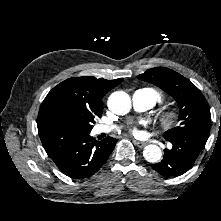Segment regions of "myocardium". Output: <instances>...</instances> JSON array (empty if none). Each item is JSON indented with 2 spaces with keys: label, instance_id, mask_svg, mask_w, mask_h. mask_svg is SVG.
<instances>
[{
  "label": "myocardium",
  "instance_id": "f54148a6",
  "mask_svg": "<svg viewBox=\"0 0 221 221\" xmlns=\"http://www.w3.org/2000/svg\"><path fill=\"white\" fill-rule=\"evenodd\" d=\"M178 113L174 110H168L160 115V125L165 129L173 128L178 122Z\"/></svg>",
  "mask_w": 221,
  "mask_h": 221
}]
</instances>
